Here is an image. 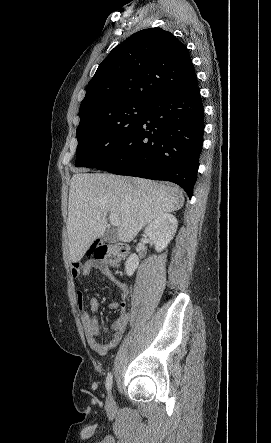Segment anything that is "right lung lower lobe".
Listing matches in <instances>:
<instances>
[{
	"label": "right lung lower lobe",
	"mask_w": 271,
	"mask_h": 443,
	"mask_svg": "<svg viewBox=\"0 0 271 443\" xmlns=\"http://www.w3.org/2000/svg\"><path fill=\"white\" fill-rule=\"evenodd\" d=\"M204 133L197 80L155 97L137 127L97 169L171 181L193 194Z\"/></svg>",
	"instance_id": "1"
}]
</instances>
